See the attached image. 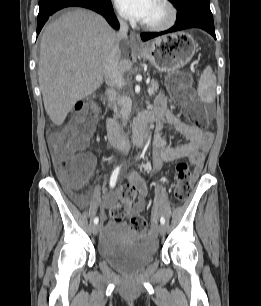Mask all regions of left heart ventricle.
<instances>
[{
  "label": "left heart ventricle",
  "instance_id": "obj_1",
  "mask_svg": "<svg viewBox=\"0 0 261 306\" xmlns=\"http://www.w3.org/2000/svg\"><path fill=\"white\" fill-rule=\"evenodd\" d=\"M164 17V9L156 0H153L149 8L148 14L143 20V22H158L161 21Z\"/></svg>",
  "mask_w": 261,
  "mask_h": 306
}]
</instances>
